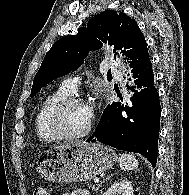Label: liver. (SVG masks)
I'll return each instance as SVG.
<instances>
[{
    "mask_svg": "<svg viewBox=\"0 0 189 195\" xmlns=\"http://www.w3.org/2000/svg\"><path fill=\"white\" fill-rule=\"evenodd\" d=\"M67 146H69V145H60V146H55V148H56V149H58V148L67 147Z\"/></svg>",
    "mask_w": 189,
    "mask_h": 195,
    "instance_id": "1",
    "label": "liver"
}]
</instances>
